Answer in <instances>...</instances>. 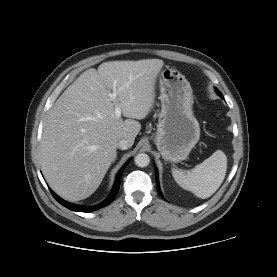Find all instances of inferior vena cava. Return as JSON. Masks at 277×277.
Here are the masks:
<instances>
[{
  "instance_id": "obj_1",
  "label": "inferior vena cava",
  "mask_w": 277,
  "mask_h": 277,
  "mask_svg": "<svg viewBox=\"0 0 277 277\" xmlns=\"http://www.w3.org/2000/svg\"><path fill=\"white\" fill-rule=\"evenodd\" d=\"M117 146H118V148H120L122 150H125V149H128L129 147H131L129 141L126 139L119 140L117 143Z\"/></svg>"
}]
</instances>
